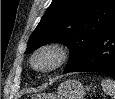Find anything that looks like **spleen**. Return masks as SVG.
<instances>
[{
	"mask_svg": "<svg viewBox=\"0 0 115 99\" xmlns=\"http://www.w3.org/2000/svg\"><path fill=\"white\" fill-rule=\"evenodd\" d=\"M102 89L103 91L113 96V99H115V81L109 78H105L102 80Z\"/></svg>",
	"mask_w": 115,
	"mask_h": 99,
	"instance_id": "3e777b00",
	"label": "spleen"
}]
</instances>
